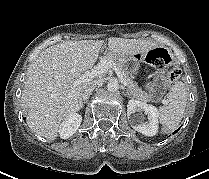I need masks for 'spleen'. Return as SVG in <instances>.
Masks as SVG:
<instances>
[{"label":"spleen","instance_id":"obj_1","mask_svg":"<svg viewBox=\"0 0 209 179\" xmlns=\"http://www.w3.org/2000/svg\"><path fill=\"white\" fill-rule=\"evenodd\" d=\"M168 103L158 110V118L165 130H174L181 122L188 99L186 85L177 82L168 93Z\"/></svg>","mask_w":209,"mask_h":179}]
</instances>
